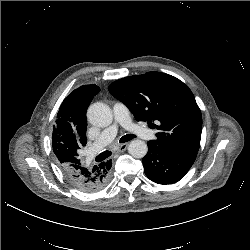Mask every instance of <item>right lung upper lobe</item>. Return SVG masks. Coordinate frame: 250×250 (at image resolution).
I'll use <instances>...</instances> for the list:
<instances>
[{
  "label": "right lung upper lobe",
  "mask_w": 250,
  "mask_h": 250,
  "mask_svg": "<svg viewBox=\"0 0 250 250\" xmlns=\"http://www.w3.org/2000/svg\"><path fill=\"white\" fill-rule=\"evenodd\" d=\"M95 84L75 89L62 102L53 126L52 147L61 167L81 163L79 150L86 145V111L99 92Z\"/></svg>",
  "instance_id": "cb5924a9"
}]
</instances>
